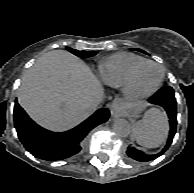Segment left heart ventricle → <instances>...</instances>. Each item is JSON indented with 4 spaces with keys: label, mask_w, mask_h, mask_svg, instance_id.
I'll return each instance as SVG.
<instances>
[{
    "label": "left heart ventricle",
    "mask_w": 194,
    "mask_h": 193,
    "mask_svg": "<svg viewBox=\"0 0 194 193\" xmlns=\"http://www.w3.org/2000/svg\"><path fill=\"white\" fill-rule=\"evenodd\" d=\"M160 78V69L156 66L146 64L137 74L136 89L148 91L152 89Z\"/></svg>",
    "instance_id": "1"
}]
</instances>
